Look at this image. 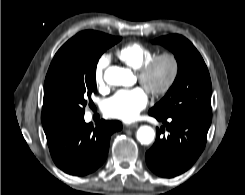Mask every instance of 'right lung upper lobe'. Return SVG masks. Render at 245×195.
<instances>
[{
    "mask_svg": "<svg viewBox=\"0 0 245 195\" xmlns=\"http://www.w3.org/2000/svg\"><path fill=\"white\" fill-rule=\"evenodd\" d=\"M96 33H100V32L88 30V31H83L78 33L77 36L93 35ZM65 123L66 122L59 116L57 111L49 102L48 98L44 95L43 108H42V124H43L45 134L58 129Z\"/></svg>",
    "mask_w": 245,
    "mask_h": 195,
    "instance_id": "cb5924a9",
    "label": "right lung upper lobe"
}]
</instances>
